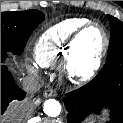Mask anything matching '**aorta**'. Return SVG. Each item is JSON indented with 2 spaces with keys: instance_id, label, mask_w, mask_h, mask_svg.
<instances>
[{
  "instance_id": "obj_1",
  "label": "aorta",
  "mask_w": 123,
  "mask_h": 123,
  "mask_svg": "<svg viewBox=\"0 0 123 123\" xmlns=\"http://www.w3.org/2000/svg\"><path fill=\"white\" fill-rule=\"evenodd\" d=\"M44 112L50 117H57L61 113V104L55 99L44 102Z\"/></svg>"
}]
</instances>
